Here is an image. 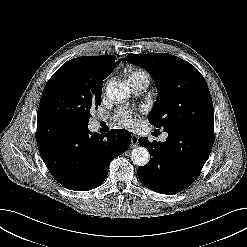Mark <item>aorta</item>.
<instances>
[{"instance_id": "obj_1", "label": "aorta", "mask_w": 247, "mask_h": 247, "mask_svg": "<svg viewBox=\"0 0 247 247\" xmlns=\"http://www.w3.org/2000/svg\"><path fill=\"white\" fill-rule=\"evenodd\" d=\"M106 95L113 101L122 102L130 96V88L122 81L112 80L106 86ZM150 154L144 147L134 148L131 152V160L137 166L148 164Z\"/></svg>"}]
</instances>
